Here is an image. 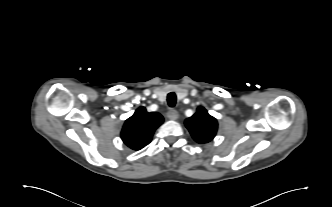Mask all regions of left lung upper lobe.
<instances>
[{
    "label": "left lung upper lobe",
    "instance_id": "obj_1",
    "mask_svg": "<svg viewBox=\"0 0 332 207\" xmlns=\"http://www.w3.org/2000/svg\"><path fill=\"white\" fill-rule=\"evenodd\" d=\"M185 125L193 139L201 144L210 142L215 137L218 127L217 120L201 106L192 117L186 119Z\"/></svg>",
    "mask_w": 332,
    "mask_h": 207
}]
</instances>
